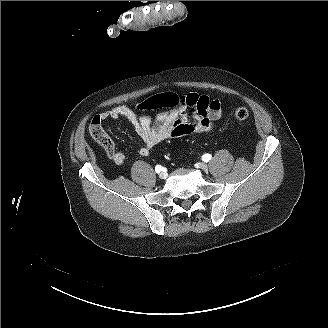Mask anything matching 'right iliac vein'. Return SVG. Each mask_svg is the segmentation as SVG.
<instances>
[{
  "mask_svg": "<svg viewBox=\"0 0 328 328\" xmlns=\"http://www.w3.org/2000/svg\"><path fill=\"white\" fill-rule=\"evenodd\" d=\"M159 178L160 179H166L167 178V173L165 171H162L160 174H159Z\"/></svg>",
  "mask_w": 328,
  "mask_h": 328,
  "instance_id": "obj_1",
  "label": "right iliac vein"
}]
</instances>
